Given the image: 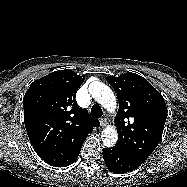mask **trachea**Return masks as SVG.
Returning a JSON list of instances; mask_svg holds the SVG:
<instances>
[{
  "label": "trachea",
  "instance_id": "trachea-1",
  "mask_svg": "<svg viewBox=\"0 0 187 187\" xmlns=\"http://www.w3.org/2000/svg\"><path fill=\"white\" fill-rule=\"evenodd\" d=\"M91 116L94 118H100L103 114L102 109L98 105H94L91 108Z\"/></svg>",
  "mask_w": 187,
  "mask_h": 187
}]
</instances>
